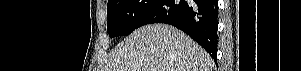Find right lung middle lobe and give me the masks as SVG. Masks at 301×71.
<instances>
[{
    "label": "right lung middle lobe",
    "mask_w": 301,
    "mask_h": 71,
    "mask_svg": "<svg viewBox=\"0 0 301 71\" xmlns=\"http://www.w3.org/2000/svg\"><path fill=\"white\" fill-rule=\"evenodd\" d=\"M158 0H108L107 32L109 36L129 35Z\"/></svg>",
    "instance_id": "1"
}]
</instances>
